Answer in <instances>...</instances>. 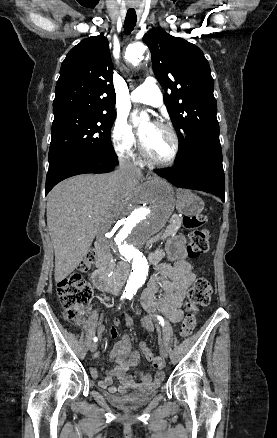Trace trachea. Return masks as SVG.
Listing matches in <instances>:
<instances>
[{
	"label": "trachea",
	"mask_w": 277,
	"mask_h": 438,
	"mask_svg": "<svg viewBox=\"0 0 277 438\" xmlns=\"http://www.w3.org/2000/svg\"><path fill=\"white\" fill-rule=\"evenodd\" d=\"M137 22V15L134 8H129L124 21V33L125 35H130L134 30Z\"/></svg>",
	"instance_id": "trachea-1"
}]
</instances>
